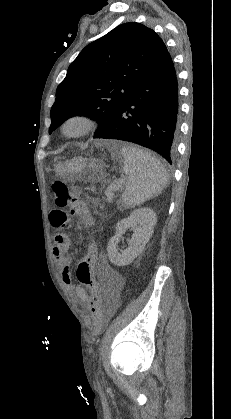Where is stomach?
Segmentation results:
<instances>
[{"mask_svg":"<svg viewBox=\"0 0 231 419\" xmlns=\"http://www.w3.org/2000/svg\"><path fill=\"white\" fill-rule=\"evenodd\" d=\"M96 160H88L86 158L77 157L65 163L56 166V173L59 175H71L79 179H83L84 175L88 172H93L98 169Z\"/></svg>","mask_w":231,"mask_h":419,"instance_id":"obj_1","label":"stomach"}]
</instances>
